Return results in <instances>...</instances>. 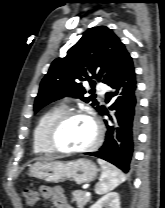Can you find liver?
<instances>
[{"label":"liver","mask_w":165,"mask_h":208,"mask_svg":"<svg viewBox=\"0 0 165 208\" xmlns=\"http://www.w3.org/2000/svg\"><path fill=\"white\" fill-rule=\"evenodd\" d=\"M55 158L54 157H51V158H44V160L46 161H50V160H54Z\"/></svg>","instance_id":"6515ba94"}]
</instances>
